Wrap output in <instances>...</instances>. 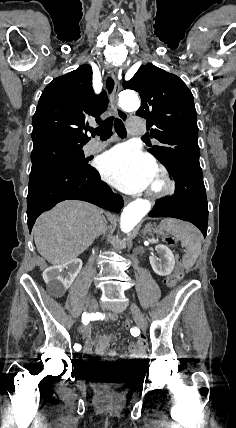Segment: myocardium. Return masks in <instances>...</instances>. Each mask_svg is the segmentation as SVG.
<instances>
[{"label": "myocardium", "instance_id": "obj_1", "mask_svg": "<svg viewBox=\"0 0 236 428\" xmlns=\"http://www.w3.org/2000/svg\"><path fill=\"white\" fill-rule=\"evenodd\" d=\"M154 171L159 185L149 187L146 192L147 197L155 201H161L173 196L177 191V183L173 179L169 169L164 165H157Z\"/></svg>", "mask_w": 236, "mask_h": 428}]
</instances>
